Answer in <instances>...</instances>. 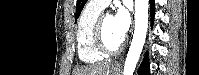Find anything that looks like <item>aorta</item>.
Instances as JSON below:
<instances>
[{"label":"aorta","instance_id":"aorta-1","mask_svg":"<svg viewBox=\"0 0 199 75\" xmlns=\"http://www.w3.org/2000/svg\"><path fill=\"white\" fill-rule=\"evenodd\" d=\"M148 0H135V30L124 64L123 75H133L142 52L148 28Z\"/></svg>","mask_w":199,"mask_h":75}]
</instances>
